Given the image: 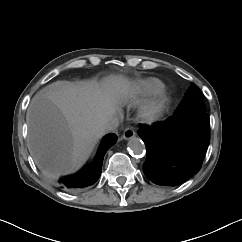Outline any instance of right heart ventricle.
Instances as JSON below:
<instances>
[{"instance_id":"1","label":"right heart ventricle","mask_w":242,"mask_h":242,"mask_svg":"<svg viewBox=\"0 0 242 242\" xmlns=\"http://www.w3.org/2000/svg\"><path fill=\"white\" fill-rule=\"evenodd\" d=\"M164 87V83L158 78L148 77L140 79L130 86L128 96L135 101H141L150 96L160 94Z\"/></svg>"}]
</instances>
